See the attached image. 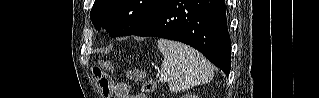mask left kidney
I'll return each mask as SVG.
<instances>
[{"label": "left kidney", "mask_w": 319, "mask_h": 98, "mask_svg": "<svg viewBox=\"0 0 319 98\" xmlns=\"http://www.w3.org/2000/svg\"><path fill=\"white\" fill-rule=\"evenodd\" d=\"M183 98H198V96L186 94Z\"/></svg>", "instance_id": "left-kidney-1"}]
</instances>
